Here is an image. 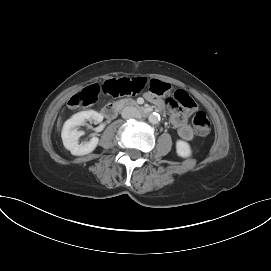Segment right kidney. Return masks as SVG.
<instances>
[{
    "instance_id": "1",
    "label": "right kidney",
    "mask_w": 271,
    "mask_h": 271,
    "mask_svg": "<svg viewBox=\"0 0 271 271\" xmlns=\"http://www.w3.org/2000/svg\"><path fill=\"white\" fill-rule=\"evenodd\" d=\"M102 122L103 116L96 111L88 110L74 114L68 119L62 129V140L64 147L71 152L72 155L82 156L91 153L99 142V138L93 137L88 142L79 144V138L84 134L83 131L77 129L78 126L84 125L85 121Z\"/></svg>"
}]
</instances>
